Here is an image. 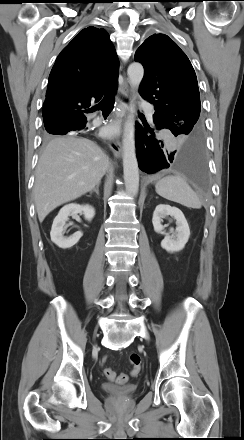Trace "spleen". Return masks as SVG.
Wrapping results in <instances>:
<instances>
[{"label": "spleen", "mask_w": 244, "mask_h": 440, "mask_svg": "<svg viewBox=\"0 0 244 440\" xmlns=\"http://www.w3.org/2000/svg\"><path fill=\"white\" fill-rule=\"evenodd\" d=\"M156 192L161 197L193 209H200L202 203L181 176L169 175L157 182Z\"/></svg>", "instance_id": "3e777b00"}]
</instances>
